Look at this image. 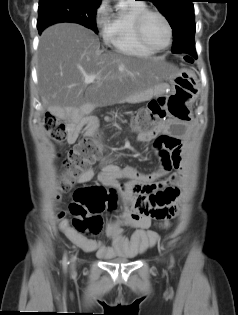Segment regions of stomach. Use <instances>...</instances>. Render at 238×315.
Returning <instances> with one entry per match:
<instances>
[{
    "label": "stomach",
    "instance_id": "0dacf381",
    "mask_svg": "<svg viewBox=\"0 0 238 315\" xmlns=\"http://www.w3.org/2000/svg\"><path fill=\"white\" fill-rule=\"evenodd\" d=\"M165 79L170 81L173 90L166 102L168 116H173L174 122H193L195 111L191 104L200 96V84H195V73L177 72Z\"/></svg>",
    "mask_w": 238,
    "mask_h": 315
}]
</instances>
